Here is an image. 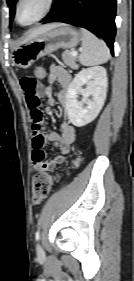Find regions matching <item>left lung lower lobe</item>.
I'll return each mask as SVG.
<instances>
[{
	"label": "left lung lower lobe",
	"instance_id": "0a47b994",
	"mask_svg": "<svg viewBox=\"0 0 134 281\" xmlns=\"http://www.w3.org/2000/svg\"><path fill=\"white\" fill-rule=\"evenodd\" d=\"M116 0H58L42 23L65 22L98 34L114 54Z\"/></svg>",
	"mask_w": 134,
	"mask_h": 281
}]
</instances>
